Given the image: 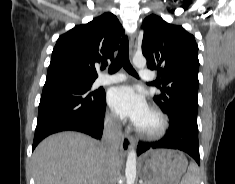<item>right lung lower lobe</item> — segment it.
<instances>
[{
    "mask_svg": "<svg viewBox=\"0 0 235 184\" xmlns=\"http://www.w3.org/2000/svg\"><path fill=\"white\" fill-rule=\"evenodd\" d=\"M106 109L105 91L95 93L63 79L44 85L32 151L45 137L61 131H78L100 139Z\"/></svg>",
    "mask_w": 235,
    "mask_h": 184,
    "instance_id": "1",
    "label": "right lung lower lobe"
}]
</instances>
